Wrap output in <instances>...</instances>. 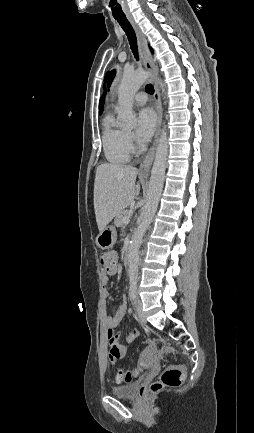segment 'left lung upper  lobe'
<instances>
[{"mask_svg":"<svg viewBox=\"0 0 254 433\" xmlns=\"http://www.w3.org/2000/svg\"><path fill=\"white\" fill-rule=\"evenodd\" d=\"M114 75H115V72H114V71H112V72H111V74H110V77H109V82H111V81H112V79H113Z\"/></svg>","mask_w":254,"mask_h":433,"instance_id":"1","label":"left lung upper lobe"}]
</instances>
